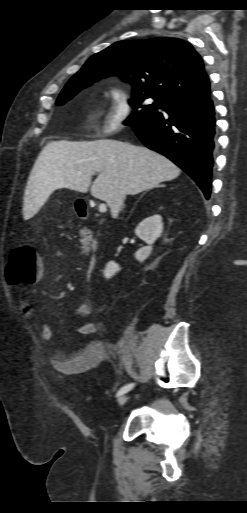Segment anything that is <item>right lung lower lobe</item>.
Here are the masks:
<instances>
[{"instance_id":"right-lung-lower-lobe-1","label":"right lung lower lobe","mask_w":247,"mask_h":513,"mask_svg":"<svg viewBox=\"0 0 247 513\" xmlns=\"http://www.w3.org/2000/svg\"><path fill=\"white\" fill-rule=\"evenodd\" d=\"M167 114L157 112L133 127L138 138L183 169L209 199L213 150L215 147V112L208 97L164 102Z\"/></svg>"}]
</instances>
